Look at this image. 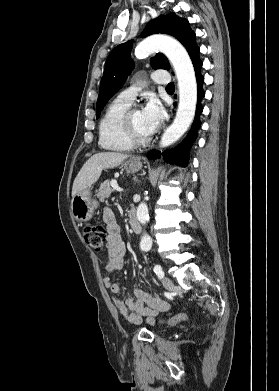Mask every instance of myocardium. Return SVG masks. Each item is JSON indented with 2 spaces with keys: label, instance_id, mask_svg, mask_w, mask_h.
I'll return each mask as SVG.
<instances>
[{
  "label": "myocardium",
  "instance_id": "myocardium-1",
  "mask_svg": "<svg viewBox=\"0 0 279 391\" xmlns=\"http://www.w3.org/2000/svg\"><path fill=\"white\" fill-rule=\"evenodd\" d=\"M139 109L138 105L133 104L125 111L122 117V126L125 136L133 146L145 145L152 140L151 134L148 136H140L134 128L132 116L133 113Z\"/></svg>",
  "mask_w": 279,
  "mask_h": 391
}]
</instances>
